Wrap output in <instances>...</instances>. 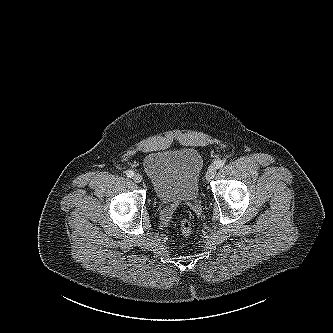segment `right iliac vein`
Wrapping results in <instances>:
<instances>
[{"label":"right iliac vein","instance_id":"1","mask_svg":"<svg viewBox=\"0 0 333 333\" xmlns=\"http://www.w3.org/2000/svg\"><path fill=\"white\" fill-rule=\"evenodd\" d=\"M133 180L135 183H140L142 181V176L139 173L133 175Z\"/></svg>","mask_w":333,"mask_h":333}]
</instances>
